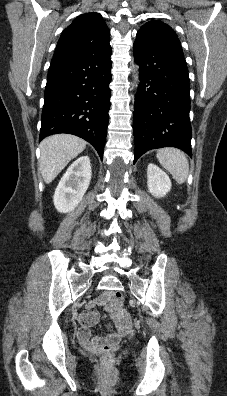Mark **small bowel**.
I'll return each mask as SVG.
<instances>
[{
	"mask_svg": "<svg viewBox=\"0 0 227 396\" xmlns=\"http://www.w3.org/2000/svg\"><path fill=\"white\" fill-rule=\"evenodd\" d=\"M97 306L103 307L105 313L111 318V323L108 325L109 333L106 338L100 335L93 337L90 335V327L95 325L101 316L96 309ZM80 321L81 326L78 330V338L84 346L91 349L114 346L121 337L133 334L131 317L122 305L115 302L113 292H105L96 300L90 302L88 308L80 315Z\"/></svg>",
	"mask_w": 227,
	"mask_h": 396,
	"instance_id": "c3829d8e",
	"label": "small bowel"
}]
</instances>
